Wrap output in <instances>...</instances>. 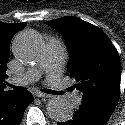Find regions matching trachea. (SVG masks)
<instances>
[{
    "label": "trachea",
    "instance_id": "3493384b",
    "mask_svg": "<svg viewBox=\"0 0 125 125\" xmlns=\"http://www.w3.org/2000/svg\"><path fill=\"white\" fill-rule=\"evenodd\" d=\"M10 87H12L15 92H23L25 90L24 87H20V86L10 85ZM42 92L47 93V94H53V95L61 94V92H59V91H54V90H50V89H44V90H42Z\"/></svg>",
    "mask_w": 125,
    "mask_h": 125
}]
</instances>
